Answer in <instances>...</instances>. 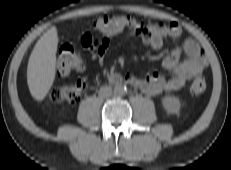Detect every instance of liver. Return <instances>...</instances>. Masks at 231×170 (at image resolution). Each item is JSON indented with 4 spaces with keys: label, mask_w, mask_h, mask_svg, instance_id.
Returning a JSON list of instances; mask_svg holds the SVG:
<instances>
[{
    "label": "liver",
    "mask_w": 231,
    "mask_h": 170,
    "mask_svg": "<svg viewBox=\"0 0 231 170\" xmlns=\"http://www.w3.org/2000/svg\"><path fill=\"white\" fill-rule=\"evenodd\" d=\"M58 33L51 27L37 41L29 57L27 83L32 97L42 101L55 80Z\"/></svg>",
    "instance_id": "6515ba94"
}]
</instances>
